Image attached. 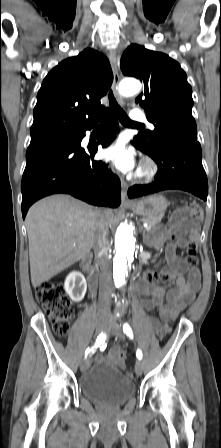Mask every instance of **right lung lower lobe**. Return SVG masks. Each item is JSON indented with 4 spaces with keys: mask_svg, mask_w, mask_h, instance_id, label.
Returning <instances> with one entry per match:
<instances>
[{
    "mask_svg": "<svg viewBox=\"0 0 221 448\" xmlns=\"http://www.w3.org/2000/svg\"><path fill=\"white\" fill-rule=\"evenodd\" d=\"M99 119L104 126L98 143L106 147L117 131L118 122L109 109ZM91 128L28 147L21 183L23 218L35 201L54 193L71 194L98 206L117 207L121 203L119 178L104 162L93 160L97 145L87 149L80 146L85 131Z\"/></svg>",
    "mask_w": 221,
    "mask_h": 448,
    "instance_id": "1",
    "label": "right lung lower lobe"
}]
</instances>
